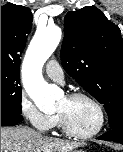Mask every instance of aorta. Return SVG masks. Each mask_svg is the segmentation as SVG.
<instances>
[{"label":"aorta","instance_id":"1","mask_svg":"<svg viewBox=\"0 0 123 152\" xmlns=\"http://www.w3.org/2000/svg\"><path fill=\"white\" fill-rule=\"evenodd\" d=\"M62 36L61 28L53 25L36 32L23 61V84L29 97L42 112L56 109L59 93L45 82L42 67L57 48Z\"/></svg>","mask_w":123,"mask_h":152}]
</instances>
